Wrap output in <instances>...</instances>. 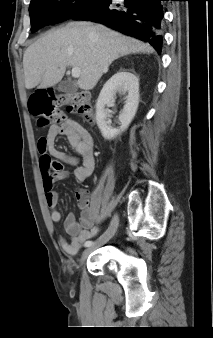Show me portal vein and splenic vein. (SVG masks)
Wrapping results in <instances>:
<instances>
[{"label": "portal vein and splenic vein", "instance_id": "1", "mask_svg": "<svg viewBox=\"0 0 213 338\" xmlns=\"http://www.w3.org/2000/svg\"><path fill=\"white\" fill-rule=\"evenodd\" d=\"M81 74V70L78 67H73L72 68V77L74 78H79Z\"/></svg>", "mask_w": 213, "mask_h": 338}]
</instances>
